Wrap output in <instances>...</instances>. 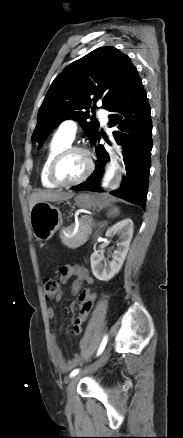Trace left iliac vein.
Returning <instances> with one entry per match:
<instances>
[{"label":"left iliac vein","mask_w":183,"mask_h":438,"mask_svg":"<svg viewBox=\"0 0 183 438\" xmlns=\"http://www.w3.org/2000/svg\"><path fill=\"white\" fill-rule=\"evenodd\" d=\"M108 356H109V350H106L104 352V354L101 356V358L95 364H93L88 369V371H86L83 374H78L70 380V382L67 386L68 406L72 407L74 404L76 387H77V384H78L80 378L82 377V375L95 372L97 369H99L107 361Z\"/></svg>","instance_id":"obj_1"}]
</instances>
